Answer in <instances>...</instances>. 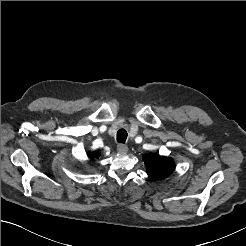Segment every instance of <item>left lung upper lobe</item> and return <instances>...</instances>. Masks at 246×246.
Masks as SVG:
<instances>
[{"label": "left lung upper lobe", "instance_id": "obj_1", "mask_svg": "<svg viewBox=\"0 0 246 246\" xmlns=\"http://www.w3.org/2000/svg\"><path fill=\"white\" fill-rule=\"evenodd\" d=\"M143 160L147 166V174L153 180L166 178L175 168L174 161L164 156L146 154Z\"/></svg>", "mask_w": 246, "mask_h": 246}]
</instances>
